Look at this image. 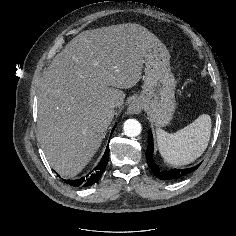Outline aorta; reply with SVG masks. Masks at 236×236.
Instances as JSON below:
<instances>
[{"instance_id": "762f6f07", "label": "aorta", "mask_w": 236, "mask_h": 236, "mask_svg": "<svg viewBox=\"0 0 236 236\" xmlns=\"http://www.w3.org/2000/svg\"><path fill=\"white\" fill-rule=\"evenodd\" d=\"M123 130L126 136L136 137L141 133V124L135 119H128L124 122Z\"/></svg>"}]
</instances>
